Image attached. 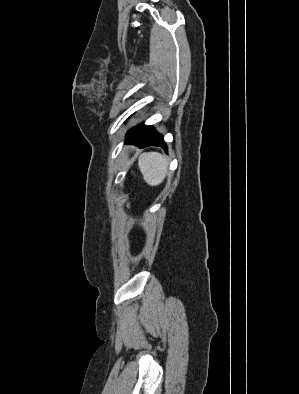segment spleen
Instances as JSON below:
<instances>
[{"label":"spleen","instance_id":"spleen-1","mask_svg":"<svg viewBox=\"0 0 299 394\" xmlns=\"http://www.w3.org/2000/svg\"><path fill=\"white\" fill-rule=\"evenodd\" d=\"M168 164L167 157L157 152L143 153L138 159L139 169L150 186H157L164 181Z\"/></svg>","mask_w":299,"mask_h":394}]
</instances>
